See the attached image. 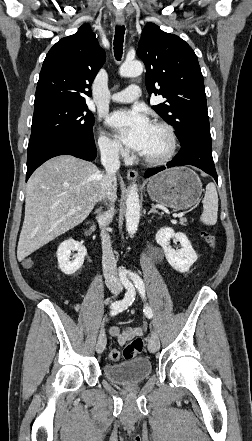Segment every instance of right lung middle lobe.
<instances>
[{"instance_id": "right-lung-middle-lobe-1", "label": "right lung middle lobe", "mask_w": 252, "mask_h": 441, "mask_svg": "<svg viewBox=\"0 0 252 441\" xmlns=\"http://www.w3.org/2000/svg\"><path fill=\"white\" fill-rule=\"evenodd\" d=\"M94 116L85 103L47 102L35 105L30 140L54 135H93Z\"/></svg>"}]
</instances>
